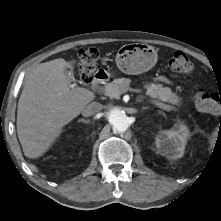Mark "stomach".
<instances>
[{
  "instance_id": "0dacf381",
  "label": "stomach",
  "mask_w": 221,
  "mask_h": 221,
  "mask_svg": "<svg viewBox=\"0 0 221 221\" xmlns=\"http://www.w3.org/2000/svg\"><path fill=\"white\" fill-rule=\"evenodd\" d=\"M156 62L155 49L140 43L123 45L116 55L118 69L129 75L142 74L150 70Z\"/></svg>"
}]
</instances>
